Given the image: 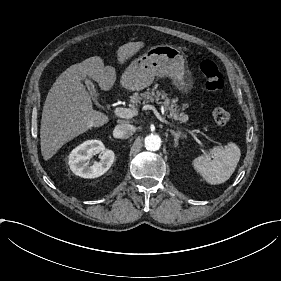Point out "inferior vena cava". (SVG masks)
Segmentation results:
<instances>
[{
    "label": "inferior vena cava",
    "mask_w": 281,
    "mask_h": 281,
    "mask_svg": "<svg viewBox=\"0 0 281 281\" xmlns=\"http://www.w3.org/2000/svg\"><path fill=\"white\" fill-rule=\"evenodd\" d=\"M136 131V128L131 124L116 125L113 131L115 138H129Z\"/></svg>",
    "instance_id": "602c4592"
}]
</instances>
